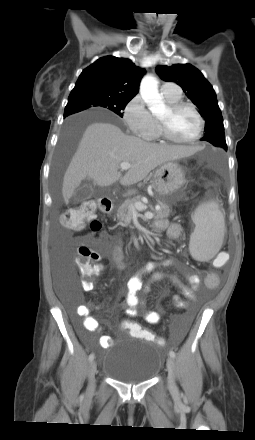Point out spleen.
<instances>
[{"instance_id":"spleen-1","label":"spleen","mask_w":255,"mask_h":440,"mask_svg":"<svg viewBox=\"0 0 255 440\" xmlns=\"http://www.w3.org/2000/svg\"><path fill=\"white\" fill-rule=\"evenodd\" d=\"M194 232L190 236L189 251L198 261H208L219 251L225 231V219L216 202L204 203L193 215Z\"/></svg>"}]
</instances>
